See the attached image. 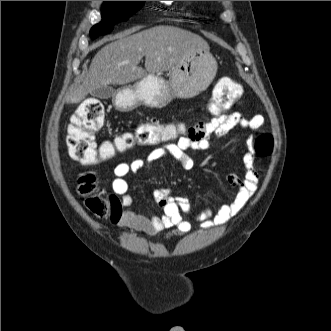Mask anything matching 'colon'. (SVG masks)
<instances>
[{"label": "colon", "mask_w": 331, "mask_h": 331, "mask_svg": "<svg viewBox=\"0 0 331 331\" xmlns=\"http://www.w3.org/2000/svg\"><path fill=\"white\" fill-rule=\"evenodd\" d=\"M243 95V87L230 78H222L217 83L210 111L214 116L221 115L231 108ZM104 107L98 99L85 100L72 117L68 130L67 145L70 156L85 165H95L125 152L134 146L156 145L168 143L185 131L183 127L172 124H162L157 121H146L139 124L135 130L123 133L112 141L98 145L93 133L104 124ZM273 148V139L269 134L260 135L255 143L259 155H268ZM80 193L88 195L86 206L96 215H104L109 207H118L115 198L107 200L97 195H91L95 190V178L92 174L80 177L78 183Z\"/></svg>", "instance_id": "1"}]
</instances>
